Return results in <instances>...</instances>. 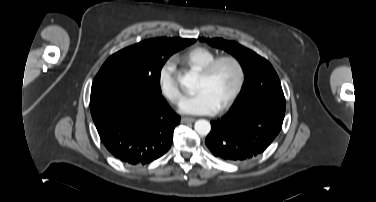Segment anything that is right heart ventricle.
I'll list each match as a JSON object with an SVG mask.
<instances>
[{
    "label": "right heart ventricle",
    "mask_w": 376,
    "mask_h": 202,
    "mask_svg": "<svg viewBox=\"0 0 376 202\" xmlns=\"http://www.w3.org/2000/svg\"><path fill=\"white\" fill-rule=\"evenodd\" d=\"M216 56L217 54L214 51L206 47H195L176 55L173 61L183 68L200 71Z\"/></svg>",
    "instance_id": "e07e8e85"
}]
</instances>
